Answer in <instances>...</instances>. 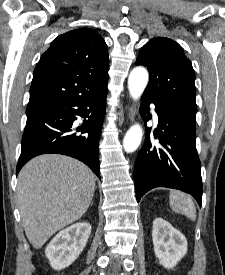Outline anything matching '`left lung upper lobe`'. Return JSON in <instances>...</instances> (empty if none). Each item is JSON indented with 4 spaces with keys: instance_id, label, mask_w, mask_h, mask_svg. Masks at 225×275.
<instances>
[{
    "instance_id": "1",
    "label": "left lung upper lobe",
    "mask_w": 225,
    "mask_h": 275,
    "mask_svg": "<svg viewBox=\"0 0 225 275\" xmlns=\"http://www.w3.org/2000/svg\"><path fill=\"white\" fill-rule=\"evenodd\" d=\"M136 65L146 66L150 73L144 93L196 116L195 73L178 43L164 37L151 39L142 47Z\"/></svg>"
}]
</instances>
